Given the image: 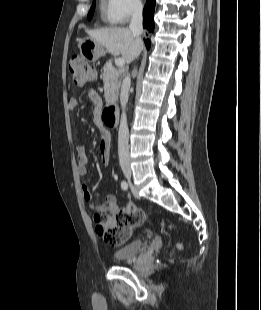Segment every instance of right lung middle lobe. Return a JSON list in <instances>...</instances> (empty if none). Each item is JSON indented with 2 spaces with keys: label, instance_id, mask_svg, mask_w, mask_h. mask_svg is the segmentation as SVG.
I'll list each match as a JSON object with an SVG mask.
<instances>
[{
  "label": "right lung middle lobe",
  "instance_id": "dd1d6c3e",
  "mask_svg": "<svg viewBox=\"0 0 261 310\" xmlns=\"http://www.w3.org/2000/svg\"><path fill=\"white\" fill-rule=\"evenodd\" d=\"M94 9H95V1L93 2V5L88 13V19L90 20L93 16V13H94Z\"/></svg>",
  "mask_w": 261,
  "mask_h": 310
}]
</instances>
